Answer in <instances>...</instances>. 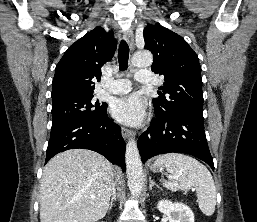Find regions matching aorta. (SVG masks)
Returning <instances> with one entry per match:
<instances>
[{"mask_svg": "<svg viewBox=\"0 0 257 222\" xmlns=\"http://www.w3.org/2000/svg\"><path fill=\"white\" fill-rule=\"evenodd\" d=\"M152 63L153 56L150 51L140 50L135 52L132 57V64L135 67H149ZM125 160L129 190L133 196H138L143 188L144 172L137 143L134 139H130L126 145Z\"/></svg>", "mask_w": 257, "mask_h": 222, "instance_id": "762f6f07", "label": "aorta"}]
</instances>
